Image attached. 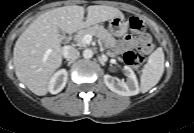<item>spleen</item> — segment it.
<instances>
[{"mask_svg":"<svg viewBox=\"0 0 194 133\" xmlns=\"http://www.w3.org/2000/svg\"><path fill=\"white\" fill-rule=\"evenodd\" d=\"M164 72V53L161 47L157 48L148 58L140 77L141 92L145 93L154 87Z\"/></svg>","mask_w":194,"mask_h":133,"instance_id":"1","label":"spleen"}]
</instances>
